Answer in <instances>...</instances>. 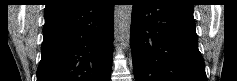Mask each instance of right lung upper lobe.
I'll use <instances>...</instances> for the list:
<instances>
[{
  "instance_id": "1",
  "label": "right lung upper lobe",
  "mask_w": 237,
  "mask_h": 81,
  "mask_svg": "<svg viewBox=\"0 0 237 81\" xmlns=\"http://www.w3.org/2000/svg\"><path fill=\"white\" fill-rule=\"evenodd\" d=\"M76 1L77 0H49V3L46 5L44 12L68 6Z\"/></svg>"
}]
</instances>
